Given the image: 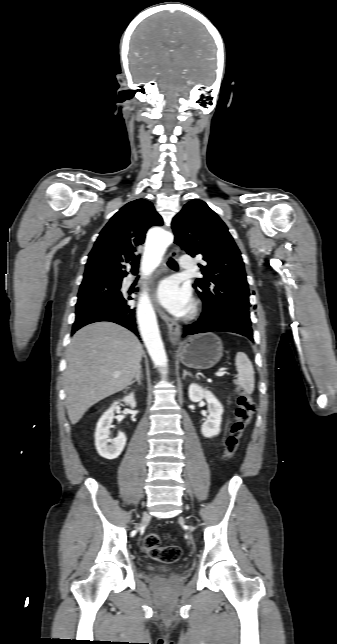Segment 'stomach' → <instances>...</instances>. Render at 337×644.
Segmentation results:
<instances>
[{"label": "stomach", "instance_id": "obj_1", "mask_svg": "<svg viewBox=\"0 0 337 644\" xmlns=\"http://www.w3.org/2000/svg\"><path fill=\"white\" fill-rule=\"evenodd\" d=\"M178 355L183 365L205 370L219 362L223 356V344L213 333L198 334L179 347Z\"/></svg>", "mask_w": 337, "mask_h": 644}]
</instances>
